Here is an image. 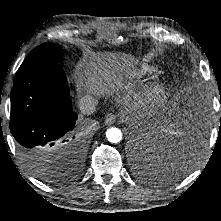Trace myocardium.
<instances>
[{
  "instance_id": "f54148a6",
  "label": "myocardium",
  "mask_w": 221,
  "mask_h": 221,
  "mask_svg": "<svg viewBox=\"0 0 221 221\" xmlns=\"http://www.w3.org/2000/svg\"><path fill=\"white\" fill-rule=\"evenodd\" d=\"M170 85L166 81H158L153 87L137 100L139 105L155 107L160 104L168 95Z\"/></svg>"
}]
</instances>
